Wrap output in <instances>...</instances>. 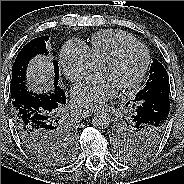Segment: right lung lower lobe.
I'll list each match as a JSON object with an SVG mask.
<instances>
[{
  "label": "right lung lower lobe",
  "mask_w": 184,
  "mask_h": 184,
  "mask_svg": "<svg viewBox=\"0 0 184 184\" xmlns=\"http://www.w3.org/2000/svg\"><path fill=\"white\" fill-rule=\"evenodd\" d=\"M17 132L24 145L35 147L51 140V120L60 118L66 103L64 91L55 86L52 93L22 94L11 99Z\"/></svg>",
  "instance_id": "right-lung-lower-lobe-1"
}]
</instances>
